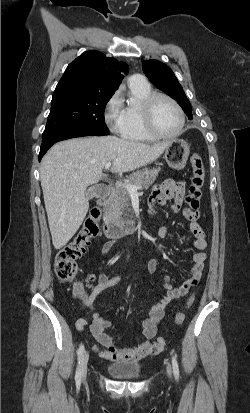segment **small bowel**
I'll use <instances>...</instances> for the list:
<instances>
[{
  "mask_svg": "<svg viewBox=\"0 0 250 413\" xmlns=\"http://www.w3.org/2000/svg\"><path fill=\"white\" fill-rule=\"evenodd\" d=\"M185 195L186 190L183 182L167 179L160 185L153 188L149 199V204L152 208L156 203H163L166 200H173V203L177 206L182 200V197ZM183 215L189 221L188 232L194 237L191 245L193 248L198 250V252L194 253L192 256L190 276L178 287H174L170 283V278L165 276V294L157 303L148 309L147 317L142 323V333L145 340L138 345L119 348L116 346L113 338L105 332V330L111 326V322L100 316L94 305V300L98 294L119 283L121 278L119 276L108 278L103 273H100L98 276V282L93 288L91 294L86 298L85 305L92 314L90 331L95 340L98 342V345H94L93 349L97 352L100 358L112 361H130L139 360L161 352V350L155 347L152 339L155 337L158 325L164 317L165 308L172 301L184 297L190 288L198 285L204 268V262L207 258L205 250L207 249L208 243L204 230L197 222L199 213L191 210L189 207H185L183 209ZM168 230V226H161L157 232L158 237L160 239L164 238ZM112 245V242L107 243L104 247V253H107L111 249ZM158 265L159 261L156 258L151 259L147 266L148 272L150 274L155 273L158 269ZM86 325V319H79L76 322V328L79 331H83Z\"/></svg>",
  "mask_w": 250,
  "mask_h": 413,
  "instance_id": "small-bowel-1",
  "label": "small bowel"
}]
</instances>
